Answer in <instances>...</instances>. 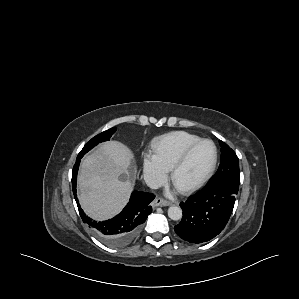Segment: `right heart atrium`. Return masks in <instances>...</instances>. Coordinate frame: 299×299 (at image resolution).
<instances>
[{
	"instance_id": "1",
	"label": "right heart atrium",
	"mask_w": 299,
	"mask_h": 299,
	"mask_svg": "<svg viewBox=\"0 0 299 299\" xmlns=\"http://www.w3.org/2000/svg\"><path fill=\"white\" fill-rule=\"evenodd\" d=\"M143 175L151 187L162 185L167 179V171L161 166L154 155L145 154L143 158Z\"/></svg>"
}]
</instances>
